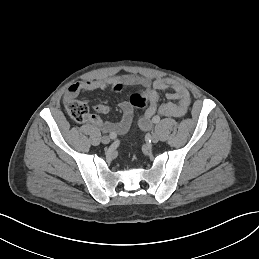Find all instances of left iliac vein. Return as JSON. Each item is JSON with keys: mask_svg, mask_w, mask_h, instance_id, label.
<instances>
[{"mask_svg": "<svg viewBox=\"0 0 259 259\" xmlns=\"http://www.w3.org/2000/svg\"><path fill=\"white\" fill-rule=\"evenodd\" d=\"M151 141H152L153 143H157V142L159 141V136H158V134L153 133V134L151 135Z\"/></svg>", "mask_w": 259, "mask_h": 259, "instance_id": "left-iliac-vein-1", "label": "left iliac vein"}]
</instances>
